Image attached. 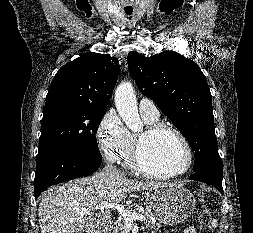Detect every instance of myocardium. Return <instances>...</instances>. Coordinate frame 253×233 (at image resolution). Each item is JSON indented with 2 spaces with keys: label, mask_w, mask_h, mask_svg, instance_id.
I'll list each match as a JSON object with an SVG mask.
<instances>
[{
  "label": "myocardium",
  "mask_w": 253,
  "mask_h": 233,
  "mask_svg": "<svg viewBox=\"0 0 253 233\" xmlns=\"http://www.w3.org/2000/svg\"><path fill=\"white\" fill-rule=\"evenodd\" d=\"M163 131H168V132L173 133L185 147L186 155H187L186 164L182 169L178 171H171V172L152 171L148 169L143 162L142 151H143L146 140ZM193 160H194V154H193V149L190 142L177 127L171 124L162 123V122H156V123L150 124L146 127V129L141 134L137 136L134 151H133V164H134L135 169L139 173L147 177L161 179V178H174V177L182 176L191 169Z\"/></svg>",
  "instance_id": "obj_1"
}]
</instances>
